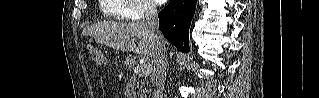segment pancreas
I'll list each match as a JSON object with an SVG mask.
<instances>
[{"label":"pancreas","instance_id":"pancreas-1","mask_svg":"<svg viewBox=\"0 0 319 98\" xmlns=\"http://www.w3.org/2000/svg\"><path fill=\"white\" fill-rule=\"evenodd\" d=\"M126 64L128 66V70L131 72L133 76L137 79L140 80V90L141 92H143L144 94L149 93L150 92V86H149V82L147 80L148 74H143L140 75L136 72V58L133 56H130L126 59Z\"/></svg>","mask_w":319,"mask_h":98}]
</instances>
